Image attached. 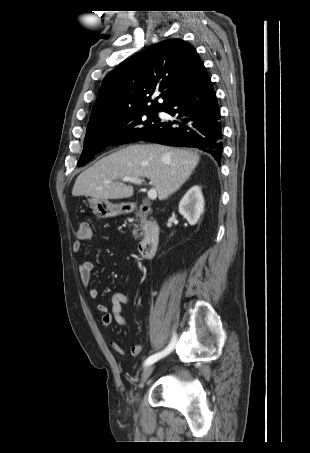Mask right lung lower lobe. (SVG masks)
Returning <instances> with one entry per match:
<instances>
[{"label": "right lung lower lobe", "instance_id": "98d812e1", "mask_svg": "<svg viewBox=\"0 0 310 453\" xmlns=\"http://www.w3.org/2000/svg\"><path fill=\"white\" fill-rule=\"evenodd\" d=\"M162 111L176 115L178 120L159 122L141 139L170 146L196 147L210 153L220 164L223 150L220 108L205 67Z\"/></svg>", "mask_w": 310, "mask_h": 453}]
</instances>
